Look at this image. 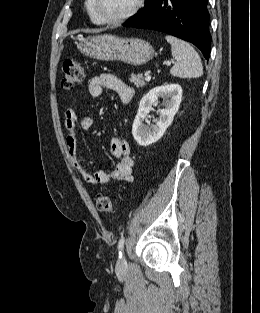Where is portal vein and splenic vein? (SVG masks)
<instances>
[{"mask_svg":"<svg viewBox=\"0 0 260 313\" xmlns=\"http://www.w3.org/2000/svg\"><path fill=\"white\" fill-rule=\"evenodd\" d=\"M167 65H170V62H168ZM145 80L146 81H150L151 80V76L149 74H146Z\"/></svg>","mask_w":260,"mask_h":313,"instance_id":"obj_1","label":"portal vein and splenic vein"}]
</instances>
